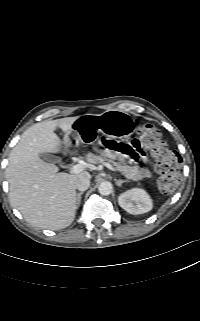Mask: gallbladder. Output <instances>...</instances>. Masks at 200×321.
<instances>
[{
    "label": "gallbladder",
    "mask_w": 200,
    "mask_h": 321,
    "mask_svg": "<svg viewBox=\"0 0 200 321\" xmlns=\"http://www.w3.org/2000/svg\"><path fill=\"white\" fill-rule=\"evenodd\" d=\"M40 158L44 161L50 162V163H60L61 159L59 157H56L54 155L43 153L40 155Z\"/></svg>",
    "instance_id": "obj_1"
}]
</instances>
